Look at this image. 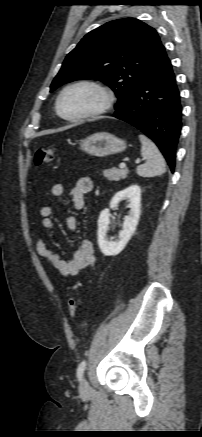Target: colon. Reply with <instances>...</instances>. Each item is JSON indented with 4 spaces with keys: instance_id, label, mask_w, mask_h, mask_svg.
Listing matches in <instances>:
<instances>
[{
    "instance_id": "1",
    "label": "colon",
    "mask_w": 202,
    "mask_h": 437,
    "mask_svg": "<svg viewBox=\"0 0 202 437\" xmlns=\"http://www.w3.org/2000/svg\"><path fill=\"white\" fill-rule=\"evenodd\" d=\"M56 150L54 148L39 147L34 154V164L39 166L51 162L55 158ZM77 300L70 297L68 300V312L71 317L76 315Z\"/></svg>"
}]
</instances>
